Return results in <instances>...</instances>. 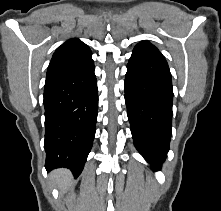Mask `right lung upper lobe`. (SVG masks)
Masks as SVG:
<instances>
[{
    "mask_svg": "<svg viewBox=\"0 0 221 211\" xmlns=\"http://www.w3.org/2000/svg\"><path fill=\"white\" fill-rule=\"evenodd\" d=\"M90 48L77 38L70 39L54 52L46 80L55 79L84 69L93 63Z\"/></svg>",
    "mask_w": 221,
    "mask_h": 211,
    "instance_id": "cb5924a9",
    "label": "right lung upper lobe"
}]
</instances>
